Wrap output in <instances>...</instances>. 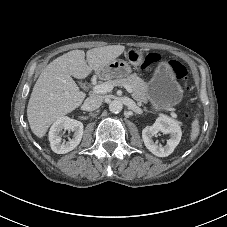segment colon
I'll return each instance as SVG.
<instances>
[{
    "label": "colon",
    "mask_w": 227,
    "mask_h": 227,
    "mask_svg": "<svg viewBox=\"0 0 227 227\" xmlns=\"http://www.w3.org/2000/svg\"><path fill=\"white\" fill-rule=\"evenodd\" d=\"M160 60V56L155 54V53H151L148 54L146 56V58L144 59L141 68L143 70H149L153 65H155L158 61ZM171 68L172 71L176 77V79L182 84L183 89L185 91V96H187L188 91H189V87L187 85V70L186 68L181 65L180 63L176 62V61H172L171 62ZM191 109H187V113H190Z\"/></svg>",
    "instance_id": "colon-1"
}]
</instances>
